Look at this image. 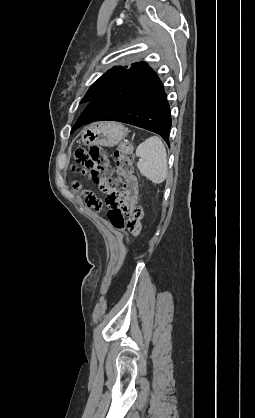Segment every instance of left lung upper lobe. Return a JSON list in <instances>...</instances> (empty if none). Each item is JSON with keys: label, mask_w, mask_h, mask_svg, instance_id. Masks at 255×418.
<instances>
[{"label": "left lung upper lobe", "mask_w": 255, "mask_h": 418, "mask_svg": "<svg viewBox=\"0 0 255 418\" xmlns=\"http://www.w3.org/2000/svg\"><path fill=\"white\" fill-rule=\"evenodd\" d=\"M132 64V66L136 65ZM127 70V66H115L112 69L108 70L107 73L102 75L88 90L85 97L82 99L81 103L90 102L96 96H98L110 83L115 81ZM76 128H72L71 132L75 131Z\"/></svg>", "instance_id": "5c2ea615"}]
</instances>
